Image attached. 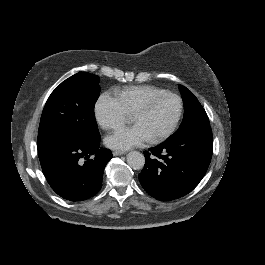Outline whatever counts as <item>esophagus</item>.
<instances>
[{
    "mask_svg": "<svg viewBox=\"0 0 265 265\" xmlns=\"http://www.w3.org/2000/svg\"><path fill=\"white\" fill-rule=\"evenodd\" d=\"M126 152L125 151H123V150H114L113 151V155L114 156H120V155H123V154H125Z\"/></svg>",
    "mask_w": 265,
    "mask_h": 265,
    "instance_id": "34e87169",
    "label": "esophagus"
}]
</instances>
